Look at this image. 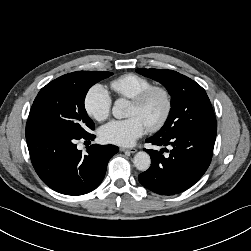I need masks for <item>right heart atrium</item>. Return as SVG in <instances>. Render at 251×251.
<instances>
[{
    "instance_id": "obj_1",
    "label": "right heart atrium",
    "mask_w": 251,
    "mask_h": 251,
    "mask_svg": "<svg viewBox=\"0 0 251 251\" xmlns=\"http://www.w3.org/2000/svg\"><path fill=\"white\" fill-rule=\"evenodd\" d=\"M112 99L105 89L100 84L93 85L84 97V108L86 113L94 120H105L110 112Z\"/></svg>"
}]
</instances>
